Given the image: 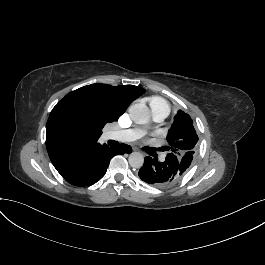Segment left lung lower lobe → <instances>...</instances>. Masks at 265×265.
<instances>
[{
    "label": "left lung lower lobe",
    "mask_w": 265,
    "mask_h": 265,
    "mask_svg": "<svg viewBox=\"0 0 265 265\" xmlns=\"http://www.w3.org/2000/svg\"><path fill=\"white\" fill-rule=\"evenodd\" d=\"M140 179L154 186H168L183 177V167L177 157L167 154L163 162L157 157H145V162L138 173Z\"/></svg>",
    "instance_id": "0a47b994"
}]
</instances>
